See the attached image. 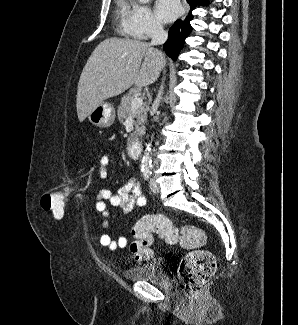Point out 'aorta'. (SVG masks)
<instances>
[{
    "mask_svg": "<svg viewBox=\"0 0 298 325\" xmlns=\"http://www.w3.org/2000/svg\"><path fill=\"white\" fill-rule=\"evenodd\" d=\"M138 2H141V4H147V2H150V0H138ZM152 148H151V142H148L143 158L141 160V171L142 173H151L152 171Z\"/></svg>",
    "mask_w": 298,
    "mask_h": 325,
    "instance_id": "aorta-1",
    "label": "aorta"
}]
</instances>
